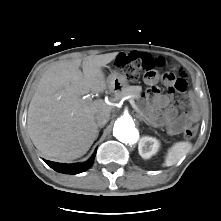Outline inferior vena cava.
<instances>
[{
    "mask_svg": "<svg viewBox=\"0 0 221 221\" xmlns=\"http://www.w3.org/2000/svg\"><path fill=\"white\" fill-rule=\"evenodd\" d=\"M109 114H105V113H98L95 116V121L97 123V126L102 127L104 126L108 121H109Z\"/></svg>",
    "mask_w": 221,
    "mask_h": 221,
    "instance_id": "obj_1",
    "label": "inferior vena cava"
}]
</instances>
